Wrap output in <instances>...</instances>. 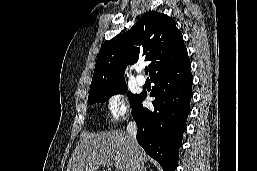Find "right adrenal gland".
I'll return each instance as SVG.
<instances>
[{
	"label": "right adrenal gland",
	"mask_w": 257,
	"mask_h": 171,
	"mask_svg": "<svg viewBox=\"0 0 257 171\" xmlns=\"http://www.w3.org/2000/svg\"><path fill=\"white\" fill-rule=\"evenodd\" d=\"M144 171H148V170L145 168ZM149 171H152V170H149Z\"/></svg>",
	"instance_id": "2a0ac1e0"
}]
</instances>
